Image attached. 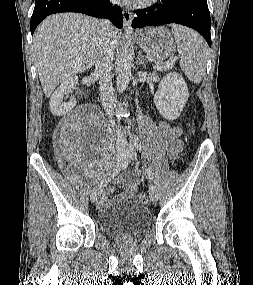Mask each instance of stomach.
Returning a JSON list of instances; mask_svg holds the SVG:
<instances>
[{"instance_id":"obj_1","label":"stomach","mask_w":253,"mask_h":285,"mask_svg":"<svg viewBox=\"0 0 253 285\" xmlns=\"http://www.w3.org/2000/svg\"><path fill=\"white\" fill-rule=\"evenodd\" d=\"M136 40L143 51L159 61L170 57L176 47L172 33L165 27L146 29Z\"/></svg>"}]
</instances>
